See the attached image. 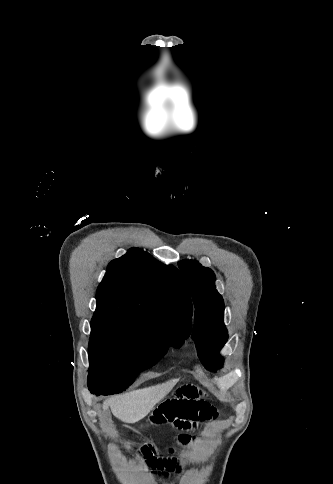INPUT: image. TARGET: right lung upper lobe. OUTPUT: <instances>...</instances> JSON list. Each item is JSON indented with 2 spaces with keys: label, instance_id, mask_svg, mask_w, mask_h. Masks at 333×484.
Masks as SVG:
<instances>
[{
  "label": "right lung upper lobe",
  "instance_id": "cb5924a9",
  "mask_svg": "<svg viewBox=\"0 0 333 484\" xmlns=\"http://www.w3.org/2000/svg\"><path fill=\"white\" fill-rule=\"evenodd\" d=\"M94 315L121 316L156 325L175 322L190 334L192 303L179 271L131 248L111 261L100 283Z\"/></svg>",
  "mask_w": 333,
  "mask_h": 484
}]
</instances>
